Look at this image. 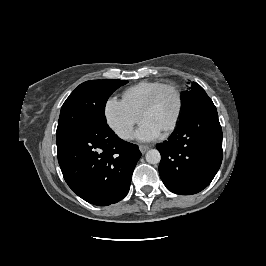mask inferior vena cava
I'll return each mask as SVG.
<instances>
[{"label": "inferior vena cava", "instance_id": "inferior-vena-cava-1", "mask_svg": "<svg viewBox=\"0 0 266 266\" xmlns=\"http://www.w3.org/2000/svg\"><path fill=\"white\" fill-rule=\"evenodd\" d=\"M121 137L125 138V139H132L133 138V130L127 129V130L123 131V133L121 134Z\"/></svg>", "mask_w": 266, "mask_h": 266}]
</instances>
